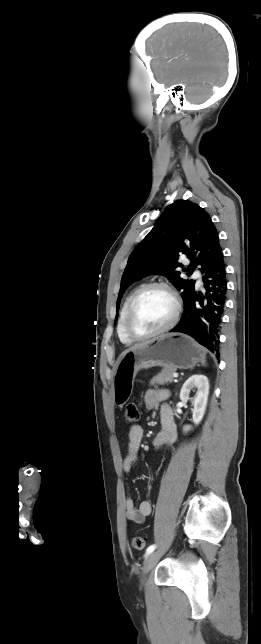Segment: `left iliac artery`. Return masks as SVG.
Masks as SVG:
<instances>
[{
    "instance_id": "1",
    "label": "left iliac artery",
    "mask_w": 261,
    "mask_h": 644,
    "mask_svg": "<svg viewBox=\"0 0 261 644\" xmlns=\"http://www.w3.org/2000/svg\"><path fill=\"white\" fill-rule=\"evenodd\" d=\"M155 549H156V545H154V544H153V545H150V546L147 548V550H146V555L150 554V553H151V552H153Z\"/></svg>"
}]
</instances>
